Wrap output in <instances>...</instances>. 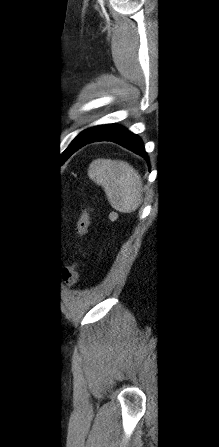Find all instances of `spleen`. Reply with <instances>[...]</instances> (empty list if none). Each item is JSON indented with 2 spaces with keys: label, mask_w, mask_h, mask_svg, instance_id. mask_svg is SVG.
I'll return each instance as SVG.
<instances>
[{
  "label": "spleen",
  "mask_w": 219,
  "mask_h": 447,
  "mask_svg": "<svg viewBox=\"0 0 219 447\" xmlns=\"http://www.w3.org/2000/svg\"><path fill=\"white\" fill-rule=\"evenodd\" d=\"M89 177L103 187L111 206L120 212L135 211L141 203V178L127 162L97 159L88 169Z\"/></svg>",
  "instance_id": "spleen-1"
}]
</instances>
